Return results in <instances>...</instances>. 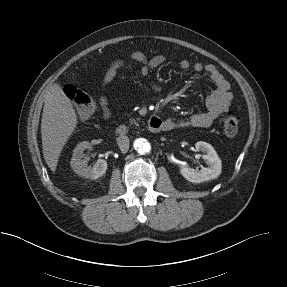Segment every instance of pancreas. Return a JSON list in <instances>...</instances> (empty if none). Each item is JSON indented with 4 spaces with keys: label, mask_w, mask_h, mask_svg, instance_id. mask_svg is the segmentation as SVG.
Returning a JSON list of instances; mask_svg holds the SVG:
<instances>
[{
    "label": "pancreas",
    "mask_w": 287,
    "mask_h": 287,
    "mask_svg": "<svg viewBox=\"0 0 287 287\" xmlns=\"http://www.w3.org/2000/svg\"><path fill=\"white\" fill-rule=\"evenodd\" d=\"M131 124L136 123L135 120H130Z\"/></svg>",
    "instance_id": "pancreas-1"
}]
</instances>
